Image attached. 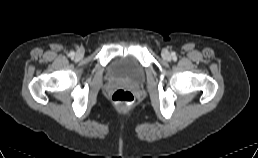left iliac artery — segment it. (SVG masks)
<instances>
[{
	"instance_id": "1",
	"label": "left iliac artery",
	"mask_w": 258,
	"mask_h": 158,
	"mask_svg": "<svg viewBox=\"0 0 258 158\" xmlns=\"http://www.w3.org/2000/svg\"><path fill=\"white\" fill-rule=\"evenodd\" d=\"M172 56L175 58L176 57L175 53H172Z\"/></svg>"
}]
</instances>
